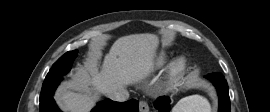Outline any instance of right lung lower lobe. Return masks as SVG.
Instances as JSON below:
<instances>
[{"label":"right lung lower lobe","mask_w":270,"mask_h":112,"mask_svg":"<svg viewBox=\"0 0 270 112\" xmlns=\"http://www.w3.org/2000/svg\"><path fill=\"white\" fill-rule=\"evenodd\" d=\"M59 83L44 82L40 94L39 112H61L56 106L53 94ZM138 101L131 99L127 102H113L110 99L98 103L91 112H138Z\"/></svg>","instance_id":"1"}]
</instances>
